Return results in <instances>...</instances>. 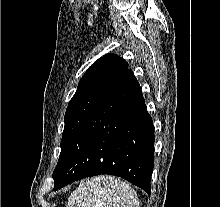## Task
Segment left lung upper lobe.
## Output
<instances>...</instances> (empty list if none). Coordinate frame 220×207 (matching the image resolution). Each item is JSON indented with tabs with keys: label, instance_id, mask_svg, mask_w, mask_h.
I'll use <instances>...</instances> for the list:
<instances>
[{
	"label": "left lung upper lobe",
	"instance_id": "obj_1",
	"mask_svg": "<svg viewBox=\"0 0 220 207\" xmlns=\"http://www.w3.org/2000/svg\"><path fill=\"white\" fill-rule=\"evenodd\" d=\"M127 69L128 63L114 54L104 55L88 68L65 113L60 155L75 131Z\"/></svg>",
	"mask_w": 220,
	"mask_h": 207
}]
</instances>
